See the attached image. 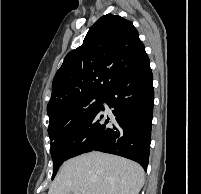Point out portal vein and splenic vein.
I'll return each instance as SVG.
<instances>
[{"label": "portal vein and splenic vein", "mask_w": 201, "mask_h": 194, "mask_svg": "<svg viewBox=\"0 0 201 194\" xmlns=\"http://www.w3.org/2000/svg\"><path fill=\"white\" fill-rule=\"evenodd\" d=\"M73 194H80V193L74 192Z\"/></svg>", "instance_id": "portal-vein-and-splenic-vein-1"}]
</instances>
